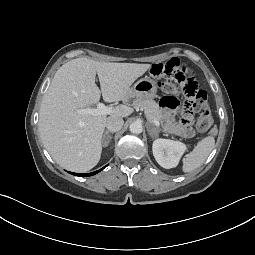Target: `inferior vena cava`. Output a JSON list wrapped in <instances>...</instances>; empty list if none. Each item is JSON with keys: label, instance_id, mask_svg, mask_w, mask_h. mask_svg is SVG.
<instances>
[{"label": "inferior vena cava", "instance_id": "inferior-vena-cava-1", "mask_svg": "<svg viewBox=\"0 0 255 255\" xmlns=\"http://www.w3.org/2000/svg\"><path fill=\"white\" fill-rule=\"evenodd\" d=\"M124 124V121L120 117H109L106 122V128L111 132L119 131Z\"/></svg>", "mask_w": 255, "mask_h": 255}]
</instances>
